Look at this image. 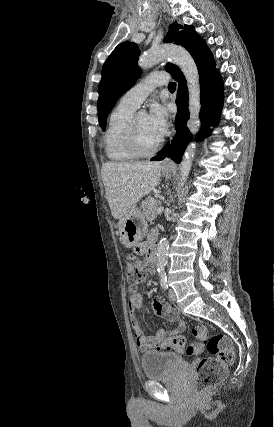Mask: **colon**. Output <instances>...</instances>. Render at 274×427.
I'll return each instance as SVG.
<instances>
[{
    "mask_svg": "<svg viewBox=\"0 0 274 427\" xmlns=\"http://www.w3.org/2000/svg\"><path fill=\"white\" fill-rule=\"evenodd\" d=\"M133 254L139 253L138 247L132 248ZM128 254L127 276L134 290L143 277L142 264L136 255ZM191 331L199 344H204L210 357L198 361L196 386L194 395H205L206 389L221 384L226 376L228 366L233 363L235 350L231 341L222 334L209 336L208 326L204 323L194 324ZM159 350H174L185 356H193L197 352L196 344H188L184 338L168 337L158 342Z\"/></svg>",
    "mask_w": 274,
    "mask_h": 427,
    "instance_id": "obj_1",
    "label": "colon"
}]
</instances>
